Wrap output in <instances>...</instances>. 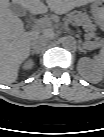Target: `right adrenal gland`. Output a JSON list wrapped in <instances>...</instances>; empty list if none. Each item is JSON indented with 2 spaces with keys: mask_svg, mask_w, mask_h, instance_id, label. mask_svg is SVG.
Segmentation results:
<instances>
[{
  "mask_svg": "<svg viewBox=\"0 0 104 137\" xmlns=\"http://www.w3.org/2000/svg\"><path fill=\"white\" fill-rule=\"evenodd\" d=\"M31 54L34 55V54H39V52L35 51V50H31Z\"/></svg>",
  "mask_w": 104,
  "mask_h": 137,
  "instance_id": "2a0ac1e0",
  "label": "right adrenal gland"
}]
</instances>
